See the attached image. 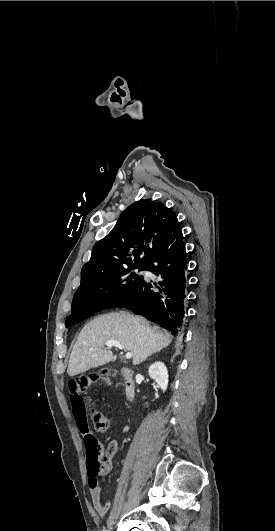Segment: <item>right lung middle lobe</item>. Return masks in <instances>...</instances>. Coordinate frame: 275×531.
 <instances>
[{
	"mask_svg": "<svg viewBox=\"0 0 275 531\" xmlns=\"http://www.w3.org/2000/svg\"><path fill=\"white\" fill-rule=\"evenodd\" d=\"M146 270V266L124 267L80 286L74 294L72 313L66 318L65 326L79 323L94 313L106 308L118 307L125 302L144 277L133 270Z\"/></svg>",
	"mask_w": 275,
	"mask_h": 531,
	"instance_id": "obj_1",
	"label": "right lung middle lobe"
}]
</instances>
